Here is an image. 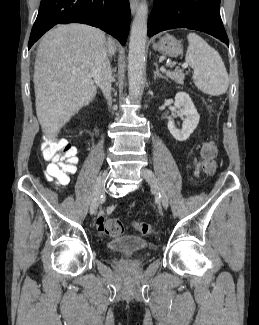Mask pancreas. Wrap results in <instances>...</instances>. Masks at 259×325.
<instances>
[{
    "mask_svg": "<svg viewBox=\"0 0 259 325\" xmlns=\"http://www.w3.org/2000/svg\"><path fill=\"white\" fill-rule=\"evenodd\" d=\"M166 76L180 85L184 83L185 74L182 72H167Z\"/></svg>",
    "mask_w": 259,
    "mask_h": 325,
    "instance_id": "pancreas-1",
    "label": "pancreas"
}]
</instances>
